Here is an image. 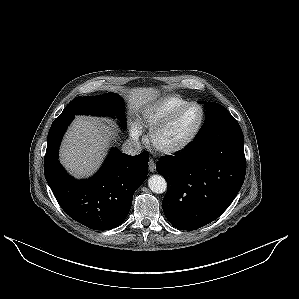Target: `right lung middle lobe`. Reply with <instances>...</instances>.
Here are the masks:
<instances>
[{
  "label": "right lung middle lobe",
  "mask_w": 299,
  "mask_h": 299,
  "mask_svg": "<svg viewBox=\"0 0 299 299\" xmlns=\"http://www.w3.org/2000/svg\"><path fill=\"white\" fill-rule=\"evenodd\" d=\"M122 113V99L118 94L110 92L95 97H76L65 107L61 115H121Z\"/></svg>",
  "instance_id": "dd1d6c3e"
}]
</instances>
